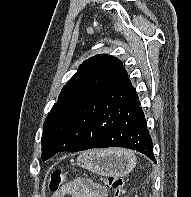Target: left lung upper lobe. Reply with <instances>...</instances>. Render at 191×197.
Wrapping results in <instances>:
<instances>
[{"instance_id":"obj_1","label":"left lung upper lobe","mask_w":191,"mask_h":197,"mask_svg":"<svg viewBox=\"0 0 191 197\" xmlns=\"http://www.w3.org/2000/svg\"><path fill=\"white\" fill-rule=\"evenodd\" d=\"M127 80V72L116 57L102 54L84 61L62 88L57 103L44 122L42 160L58 151H73L66 141L65 128L92 98Z\"/></svg>"}]
</instances>
